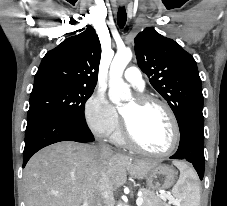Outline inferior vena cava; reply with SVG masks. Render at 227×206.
Here are the masks:
<instances>
[{"instance_id": "inferior-vena-cava-1", "label": "inferior vena cava", "mask_w": 227, "mask_h": 206, "mask_svg": "<svg viewBox=\"0 0 227 206\" xmlns=\"http://www.w3.org/2000/svg\"><path fill=\"white\" fill-rule=\"evenodd\" d=\"M99 148L103 151H110L111 149L105 145H100ZM100 197L96 206H113V186L105 173L101 174L99 181Z\"/></svg>"}]
</instances>
